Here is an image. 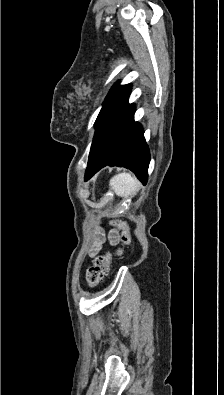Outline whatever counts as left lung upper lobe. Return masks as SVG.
Here are the masks:
<instances>
[{"instance_id": "1", "label": "left lung upper lobe", "mask_w": 224, "mask_h": 395, "mask_svg": "<svg viewBox=\"0 0 224 395\" xmlns=\"http://www.w3.org/2000/svg\"><path fill=\"white\" fill-rule=\"evenodd\" d=\"M128 85L125 86H119V83L117 82L112 89L110 90L109 94L107 95L104 106L108 104L111 100H113L120 92H122Z\"/></svg>"}]
</instances>
